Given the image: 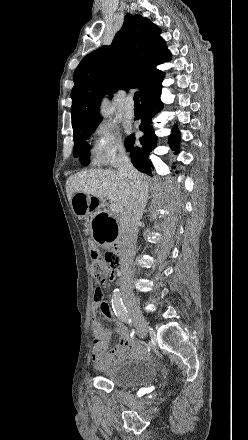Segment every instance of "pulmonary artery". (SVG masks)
<instances>
[{
	"label": "pulmonary artery",
	"mask_w": 248,
	"mask_h": 440,
	"mask_svg": "<svg viewBox=\"0 0 248 440\" xmlns=\"http://www.w3.org/2000/svg\"><path fill=\"white\" fill-rule=\"evenodd\" d=\"M124 117L128 120H132L134 118V104L131 97H128L125 101L124 108Z\"/></svg>",
	"instance_id": "1"
}]
</instances>
